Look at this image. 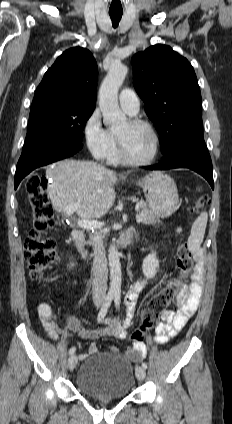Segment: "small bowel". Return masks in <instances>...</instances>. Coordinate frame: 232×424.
Here are the masks:
<instances>
[{
	"label": "small bowel",
	"mask_w": 232,
	"mask_h": 424,
	"mask_svg": "<svg viewBox=\"0 0 232 424\" xmlns=\"http://www.w3.org/2000/svg\"><path fill=\"white\" fill-rule=\"evenodd\" d=\"M203 262L201 257L192 274V280L187 288L182 287L175 301L176 309L166 310L161 315V322L156 327L155 340L159 344H165L170 338L174 337L180 330L183 329L188 319L196 312L199 306L202 283H203ZM174 280H168L167 285ZM143 288V282H136L126 292L124 302L127 308L134 310L139 293ZM38 316L41 324L51 340H57L58 327L54 320V316L50 306L46 303H41L37 308ZM133 314L128 312L124 323L118 319L105 318L104 327L100 329H86L82 327L77 318L72 315L66 316V324L68 328L76 332L78 336L84 340H96L102 336H111L116 339H125L127 336L126 329L130 325ZM111 352H118L116 346H110ZM98 352V346L91 343L88 352L81 354V357L93 355ZM147 353L146 346L134 344L129 347L126 354L134 362H139Z\"/></svg>",
	"instance_id": "obj_1"
}]
</instances>
